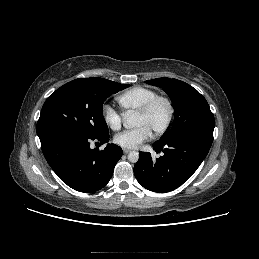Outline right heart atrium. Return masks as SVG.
Masks as SVG:
<instances>
[{
	"mask_svg": "<svg viewBox=\"0 0 259 259\" xmlns=\"http://www.w3.org/2000/svg\"><path fill=\"white\" fill-rule=\"evenodd\" d=\"M101 115L105 124L112 130H119L122 126V115L111 105L104 104L101 108Z\"/></svg>",
	"mask_w": 259,
	"mask_h": 259,
	"instance_id": "obj_1",
	"label": "right heart atrium"
}]
</instances>
